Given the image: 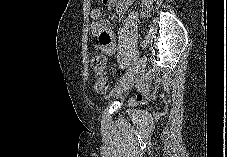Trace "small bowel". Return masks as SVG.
I'll list each match as a JSON object with an SVG mask.
<instances>
[{
	"label": "small bowel",
	"instance_id": "small-bowel-1",
	"mask_svg": "<svg viewBox=\"0 0 227 157\" xmlns=\"http://www.w3.org/2000/svg\"><path fill=\"white\" fill-rule=\"evenodd\" d=\"M105 4L112 5L119 16H123L133 3V0H103ZM91 33L98 38L99 43L105 48L106 53L111 55L115 53V33L108 22L103 18L101 8H95L91 11Z\"/></svg>",
	"mask_w": 227,
	"mask_h": 157
}]
</instances>
